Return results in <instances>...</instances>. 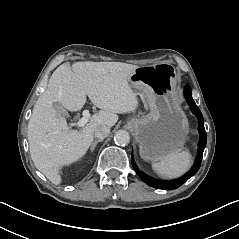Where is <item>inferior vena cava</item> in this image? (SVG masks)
<instances>
[{
	"label": "inferior vena cava",
	"mask_w": 239,
	"mask_h": 239,
	"mask_svg": "<svg viewBox=\"0 0 239 239\" xmlns=\"http://www.w3.org/2000/svg\"><path fill=\"white\" fill-rule=\"evenodd\" d=\"M110 133L108 126H98L94 129V136L100 139L106 138Z\"/></svg>",
	"instance_id": "1"
}]
</instances>
